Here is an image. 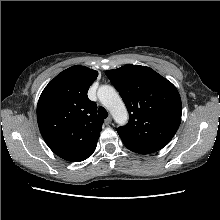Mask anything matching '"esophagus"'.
<instances>
[{
    "mask_svg": "<svg viewBox=\"0 0 220 220\" xmlns=\"http://www.w3.org/2000/svg\"><path fill=\"white\" fill-rule=\"evenodd\" d=\"M111 122H112V117L111 116L106 118L105 121H104L105 125H109Z\"/></svg>",
    "mask_w": 220,
    "mask_h": 220,
    "instance_id": "obj_1",
    "label": "esophagus"
}]
</instances>
